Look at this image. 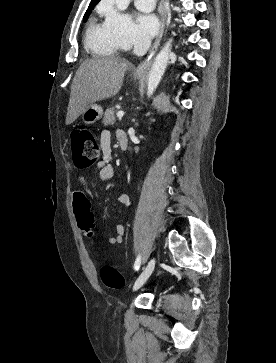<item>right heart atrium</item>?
<instances>
[{
    "label": "right heart atrium",
    "instance_id": "obj_1",
    "mask_svg": "<svg viewBox=\"0 0 276 363\" xmlns=\"http://www.w3.org/2000/svg\"><path fill=\"white\" fill-rule=\"evenodd\" d=\"M106 26L119 42L122 49H130L145 44V39L137 31L131 18L117 10L112 4L104 8Z\"/></svg>",
    "mask_w": 276,
    "mask_h": 363
}]
</instances>
